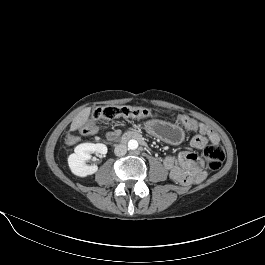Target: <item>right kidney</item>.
I'll list each match as a JSON object with an SVG mask.
<instances>
[{"label": "right kidney", "mask_w": 265, "mask_h": 265, "mask_svg": "<svg viewBox=\"0 0 265 265\" xmlns=\"http://www.w3.org/2000/svg\"><path fill=\"white\" fill-rule=\"evenodd\" d=\"M91 153L105 155L107 153V147L100 143H83L78 145L74 153L68 157V165L74 175L86 177L98 171V166L87 165L85 163V161L91 159Z\"/></svg>", "instance_id": "right-kidney-1"}]
</instances>
